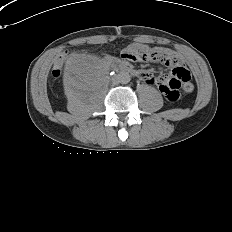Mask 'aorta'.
<instances>
[{
    "mask_svg": "<svg viewBox=\"0 0 232 232\" xmlns=\"http://www.w3.org/2000/svg\"><path fill=\"white\" fill-rule=\"evenodd\" d=\"M118 80L122 84H127L130 81V75L127 72H120L118 74Z\"/></svg>",
    "mask_w": 232,
    "mask_h": 232,
    "instance_id": "1",
    "label": "aorta"
}]
</instances>
